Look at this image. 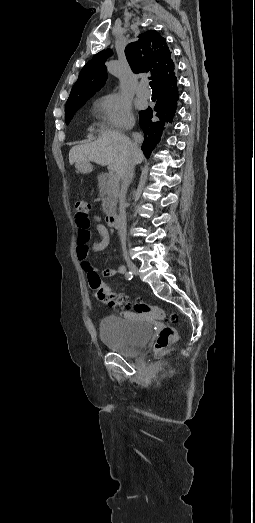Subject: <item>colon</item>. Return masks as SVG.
I'll return each instance as SVG.
<instances>
[{
	"mask_svg": "<svg viewBox=\"0 0 255 523\" xmlns=\"http://www.w3.org/2000/svg\"><path fill=\"white\" fill-rule=\"evenodd\" d=\"M89 208L90 206L88 202L84 200H77L75 202L77 226L84 227L89 224ZM88 281L94 297L101 302L114 307L133 308L138 314L149 315L156 319L166 320L170 323H176L178 321L175 315H168L160 307L152 306L140 301H137L134 304L129 303L116 292L106 287L96 272L88 273ZM178 339L179 334L176 328L172 326H164L158 333L157 339L154 343L153 352L155 354L160 353L171 344L175 343Z\"/></svg>",
	"mask_w": 255,
	"mask_h": 523,
	"instance_id": "obj_1",
	"label": "colon"
}]
</instances>
